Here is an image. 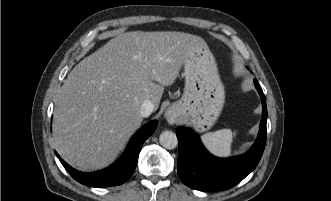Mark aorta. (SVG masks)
Segmentation results:
<instances>
[{"mask_svg": "<svg viewBox=\"0 0 331 201\" xmlns=\"http://www.w3.org/2000/svg\"><path fill=\"white\" fill-rule=\"evenodd\" d=\"M159 142L162 147L170 150L176 148L178 145L176 134L172 131H163L160 134Z\"/></svg>", "mask_w": 331, "mask_h": 201, "instance_id": "762f6f07", "label": "aorta"}]
</instances>
